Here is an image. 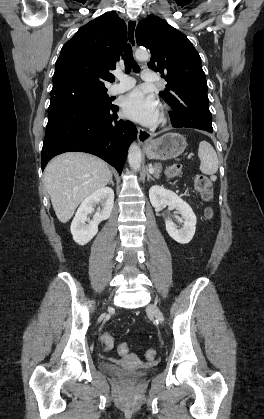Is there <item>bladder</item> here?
<instances>
[{
	"instance_id": "bladder-1",
	"label": "bladder",
	"mask_w": 264,
	"mask_h": 419,
	"mask_svg": "<svg viewBox=\"0 0 264 419\" xmlns=\"http://www.w3.org/2000/svg\"><path fill=\"white\" fill-rule=\"evenodd\" d=\"M100 367L103 371L112 374L127 383H135L149 374L148 370L127 369L105 361L101 362Z\"/></svg>"
}]
</instances>
